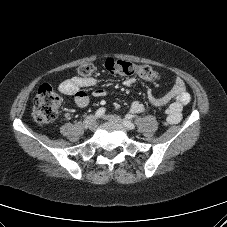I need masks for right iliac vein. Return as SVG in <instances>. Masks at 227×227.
<instances>
[{
    "label": "right iliac vein",
    "mask_w": 227,
    "mask_h": 227,
    "mask_svg": "<svg viewBox=\"0 0 227 227\" xmlns=\"http://www.w3.org/2000/svg\"><path fill=\"white\" fill-rule=\"evenodd\" d=\"M83 126L85 129H90L93 130L96 128V119L94 116H89L87 117L84 122H83Z\"/></svg>",
    "instance_id": "63e3f726"
}]
</instances>
